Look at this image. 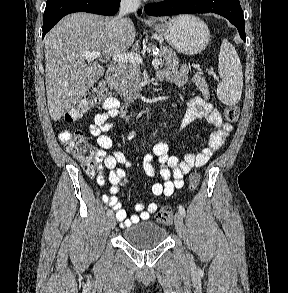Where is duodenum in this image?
Wrapping results in <instances>:
<instances>
[{
    "mask_svg": "<svg viewBox=\"0 0 288 293\" xmlns=\"http://www.w3.org/2000/svg\"><path fill=\"white\" fill-rule=\"evenodd\" d=\"M118 70L115 66H110L106 72V81L110 87H114L117 82Z\"/></svg>",
    "mask_w": 288,
    "mask_h": 293,
    "instance_id": "1",
    "label": "duodenum"
}]
</instances>
